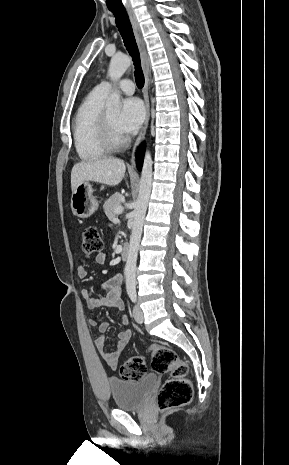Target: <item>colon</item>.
<instances>
[{"instance_id":"1","label":"colon","mask_w":289,"mask_h":465,"mask_svg":"<svg viewBox=\"0 0 289 465\" xmlns=\"http://www.w3.org/2000/svg\"><path fill=\"white\" fill-rule=\"evenodd\" d=\"M81 248L85 254L100 252L102 239L94 227L82 231ZM151 367L159 374L170 373L157 395V405L161 410L187 405L193 396V388L188 378L189 366L181 360L177 352L163 345H151ZM119 374L125 380H139L147 374V364L140 356L127 358L119 368Z\"/></svg>"}]
</instances>
